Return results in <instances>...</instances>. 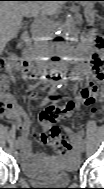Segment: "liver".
<instances>
[{"label":"liver","instance_id":"1","mask_svg":"<svg viewBox=\"0 0 104 189\" xmlns=\"http://www.w3.org/2000/svg\"><path fill=\"white\" fill-rule=\"evenodd\" d=\"M59 2L1 1L0 3V44L1 48L18 33L23 16H34L40 12L54 13Z\"/></svg>","mask_w":104,"mask_h":189}]
</instances>
